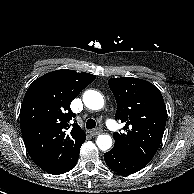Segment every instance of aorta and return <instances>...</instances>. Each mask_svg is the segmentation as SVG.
Listing matches in <instances>:
<instances>
[{
    "label": "aorta",
    "instance_id": "762f6f07",
    "mask_svg": "<svg viewBox=\"0 0 194 194\" xmlns=\"http://www.w3.org/2000/svg\"><path fill=\"white\" fill-rule=\"evenodd\" d=\"M83 102L85 106L92 110H99L104 106L103 96L95 90H87L83 94ZM96 144L102 151H106L112 146V138L109 135H98Z\"/></svg>",
    "mask_w": 194,
    "mask_h": 194
}]
</instances>
